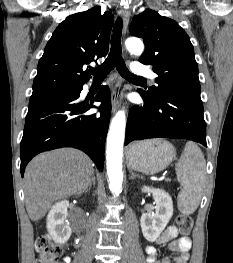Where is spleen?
<instances>
[{
	"mask_svg": "<svg viewBox=\"0 0 233 263\" xmlns=\"http://www.w3.org/2000/svg\"><path fill=\"white\" fill-rule=\"evenodd\" d=\"M175 170L183 184L178 194V209L182 214H192L199 206L206 180V162L197 144L186 143Z\"/></svg>",
	"mask_w": 233,
	"mask_h": 263,
	"instance_id": "3e777b00",
	"label": "spleen"
}]
</instances>
